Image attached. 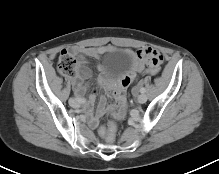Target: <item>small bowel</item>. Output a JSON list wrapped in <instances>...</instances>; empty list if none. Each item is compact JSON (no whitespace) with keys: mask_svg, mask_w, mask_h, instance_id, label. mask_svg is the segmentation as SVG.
<instances>
[{"mask_svg":"<svg viewBox=\"0 0 219 174\" xmlns=\"http://www.w3.org/2000/svg\"><path fill=\"white\" fill-rule=\"evenodd\" d=\"M117 50L118 49L115 46L111 45L100 47L71 48V54L76 56L80 61L77 73L71 78V83L74 86L78 97H81L87 91V87L83 84V81L90 77L89 69L83 65L86 62V59H100L105 54L115 52ZM123 51L131 57L133 64L131 68L120 77L118 83L107 86V88L111 90L109 92V97L115 101L114 108L120 121H125L127 119V114L124 112L128 109V104L126 103L128 101V91L126 89L133 82L136 75L138 73L146 72L148 67L160 68L164 63V56L160 52H153L154 50L151 48H145L140 51L123 49ZM100 71V81L104 82L106 80L105 70L103 67H101ZM95 99V94L89 98L87 103L88 111L93 105ZM105 111L106 100L104 97H101L96 114L90 118L89 123L91 127H96L98 125L99 118L105 113Z\"/></svg>","mask_w":219,"mask_h":174,"instance_id":"small-bowel-1","label":"small bowel"}]
</instances>
